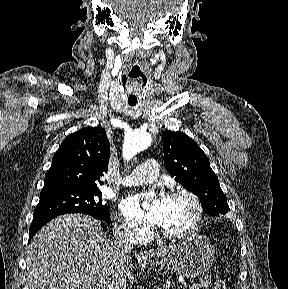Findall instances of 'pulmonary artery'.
Masks as SVG:
<instances>
[{"instance_id": "1", "label": "pulmonary artery", "mask_w": 288, "mask_h": 289, "mask_svg": "<svg viewBox=\"0 0 288 289\" xmlns=\"http://www.w3.org/2000/svg\"><path fill=\"white\" fill-rule=\"evenodd\" d=\"M159 175V166L156 160L147 159L139 165L129 176L123 178L121 183L126 186L152 182Z\"/></svg>"}]
</instances>
